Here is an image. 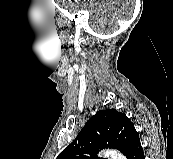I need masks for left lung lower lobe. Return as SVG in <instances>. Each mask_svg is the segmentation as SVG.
<instances>
[{
    "label": "left lung lower lobe",
    "instance_id": "left-lung-lower-lobe-1",
    "mask_svg": "<svg viewBox=\"0 0 173 159\" xmlns=\"http://www.w3.org/2000/svg\"><path fill=\"white\" fill-rule=\"evenodd\" d=\"M127 159H145L141 144H137L128 154Z\"/></svg>",
    "mask_w": 173,
    "mask_h": 159
}]
</instances>
